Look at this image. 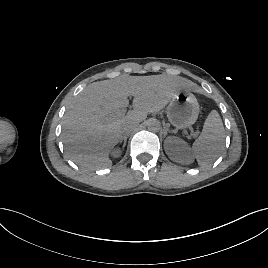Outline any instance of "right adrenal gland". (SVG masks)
I'll list each match as a JSON object with an SVG mask.
<instances>
[{"label": "right adrenal gland", "mask_w": 268, "mask_h": 268, "mask_svg": "<svg viewBox=\"0 0 268 268\" xmlns=\"http://www.w3.org/2000/svg\"><path fill=\"white\" fill-rule=\"evenodd\" d=\"M122 141H124V144H123V146H122V148L124 149L125 148V146H126V142H127V137L125 136V137H122L121 139H120V143H122Z\"/></svg>", "instance_id": "2a0ac1e0"}]
</instances>
